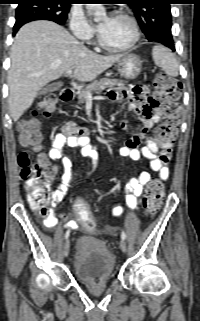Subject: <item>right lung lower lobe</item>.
I'll return each instance as SVG.
<instances>
[{
    "label": "right lung lower lobe",
    "mask_w": 200,
    "mask_h": 321,
    "mask_svg": "<svg viewBox=\"0 0 200 321\" xmlns=\"http://www.w3.org/2000/svg\"><path fill=\"white\" fill-rule=\"evenodd\" d=\"M43 19H44V20H47L46 17H43V16H31V17L23 18V19H20V20L16 21V23H15V25H14V27H13V35L16 34V32L18 31V29H19L22 25H24V24H26V23H28V22H30V21L43 20Z\"/></svg>",
    "instance_id": "98d812e1"
}]
</instances>
